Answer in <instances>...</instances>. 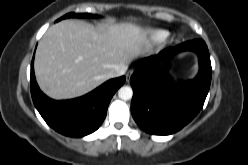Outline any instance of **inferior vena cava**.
Returning a JSON list of instances; mask_svg holds the SVG:
<instances>
[{
    "label": "inferior vena cava",
    "instance_id": "1",
    "mask_svg": "<svg viewBox=\"0 0 248 165\" xmlns=\"http://www.w3.org/2000/svg\"><path fill=\"white\" fill-rule=\"evenodd\" d=\"M127 70V66H117L113 70H111L107 77L108 78H115L123 75Z\"/></svg>",
    "mask_w": 248,
    "mask_h": 165
}]
</instances>
